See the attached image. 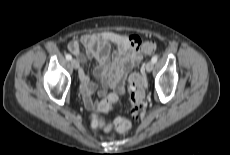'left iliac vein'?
Segmentation results:
<instances>
[{"instance_id":"1","label":"left iliac vein","mask_w":230,"mask_h":155,"mask_svg":"<svg viewBox=\"0 0 230 155\" xmlns=\"http://www.w3.org/2000/svg\"><path fill=\"white\" fill-rule=\"evenodd\" d=\"M153 68H154V63L152 61L146 63L145 69L147 72H151Z\"/></svg>"}]
</instances>
